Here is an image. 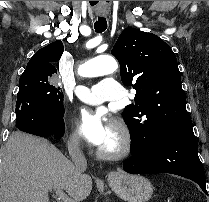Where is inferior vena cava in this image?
<instances>
[{"mask_svg": "<svg viewBox=\"0 0 209 202\" xmlns=\"http://www.w3.org/2000/svg\"><path fill=\"white\" fill-rule=\"evenodd\" d=\"M69 154L78 173L87 169V161L81 149L80 139H75L69 146Z\"/></svg>", "mask_w": 209, "mask_h": 202, "instance_id": "602c4592", "label": "inferior vena cava"}]
</instances>
